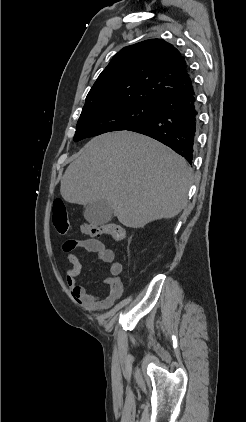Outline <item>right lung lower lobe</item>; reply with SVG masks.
Returning a JSON list of instances; mask_svg holds the SVG:
<instances>
[{
    "mask_svg": "<svg viewBox=\"0 0 246 422\" xmlns=\"http://www.w3.org/2000/svg\"><path fill=\"white\" fill-rule=\"evenodd\" d=\"M197 115L196 96L192 87L158 102L155 116L127 130L162 142L191 164L199 123Z\"/></svg>",
    "mask_w": 246,
    "mask_h": 422,
    "instance_id": "1",
    "label": "right lung lower lobe"
}]
</instances>
